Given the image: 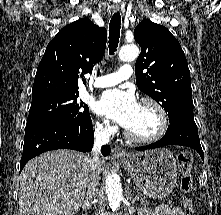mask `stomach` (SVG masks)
<instances>
[{"instance_id": "stomach-1", "label": "stomach", "mask_w": 221, "mask_h": 215, "mask_svg": "<svg viewBox=\"0 0 221 215\" xmlns=\"http://www.w3.org/2000/svg\"><path fill=\"white\" fill-rule=\"evenodd\" d=\"M120 163L135 185L151 198H164L177 185L176 160L165 148L130 153Z\"/></svg>"}]
</instances>
